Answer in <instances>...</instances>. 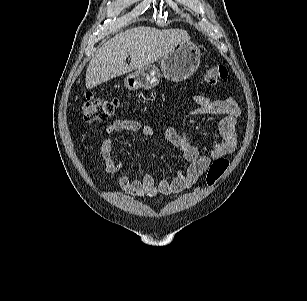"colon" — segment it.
I'll use <instances>...</instances> for the list:
<instances>
[{"label":"colon","mask_w":307,"mask_h":301,"mask_svg":"<svg viewBox=\"0 0 307 301\" xmlns=\"http://www.w3.org/2000/svg\"><path fill=\"white\" fill-rule=\"evenodd\" d=\"M228 70L223 65H209L205 70V81L209 85H216L225 80ZM117 101L104 97L87 95L82 106V116L86 122H101L110 118L115 112ZM229 162L225 158L216 159L207 173V184L213 185L228 168Z\"/></svg>","instance_id":"5ec220e1"}]
</instances>
